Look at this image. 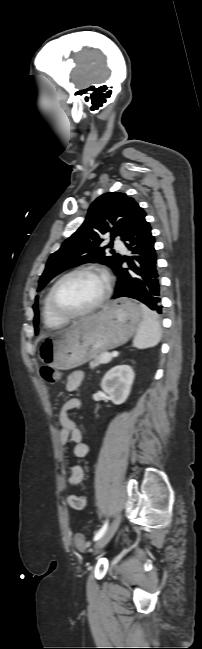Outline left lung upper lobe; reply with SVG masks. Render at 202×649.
<instances>
[{
	"instance_id": "1",
	"label": "left lung upper lobe",
	"mask_w": 202,
	"mask_h": 649,
	"mask_svg": "<svg viewBox=\"0 0 202 649\" xmlns=\"http://www.w3.org/2000/svg\"><path fill=\"white\" fill-rule=\"evenodd\" d=\"M143 216H145L143 209L125 193L109 192L97 198L91 204L81 227L65 240L57 252L49 257L45 271L40 277L37 291H41L53 277L62 271L89 261H101L113 268L120 255L106 256L105 249L112 247L115 237L123 238L132 224ZM105 234L111 237V243L102 246L101 237ZM33 309L35 312V334H38L37 301L33 305Z\"/></svg>"
}]
</instances>
